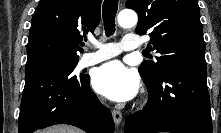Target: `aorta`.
Listing matches in <instances>:
<instances>
[{"mask_svg":"<svg viewBox=\"0 0 221 133\" xmlns=\"http://www.w3.org/2000/svg\"><path fill=\"white\" fill-rule=\"evenodd\" d=\"M118 24L123 28L134 27L138 22V16L134 11L123 10L118 15Z\"/></svg>","mask_w":221,"mask_h":133,"instance_id":"obj_1","label":"aorta"}]
</instances>
